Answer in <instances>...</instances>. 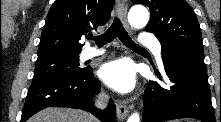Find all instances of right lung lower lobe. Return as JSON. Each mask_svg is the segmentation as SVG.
Wrapping results in <instances>:
<instances>
[{"label":"right lung lower lobe","instance_id":"98d812e1","mask_svg":"<svg viewBox=\"0 0 221 122\" xmlns=\"http://www.w3.org/2000/svg\"><path fill=\"white\" fill-rule=\"evenodd\" d=\"M99 92L100 82L94 78L91 67L79 75L32 81L20 122H25L38 111L51 106L84 108L102 122H116V107L111 100L105 110L94 107L92 98Z\"/></svg>","mask_w":221,"mask_h":122}]
</instances>
